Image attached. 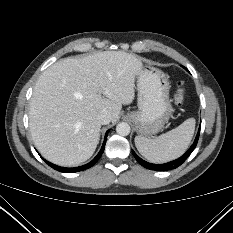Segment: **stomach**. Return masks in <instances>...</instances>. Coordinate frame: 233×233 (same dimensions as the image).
I'll return each mask as SVG.
<instances>
[{"mask_svg":"<svg viewBox=\"0 0 233 233\" xmlns=\"http://www.w3.org/2000/svg\"><path fill=\"white\" fill-rule=\"evenodd\" d=\"M169 89L168 77L162 70L142 64L137 73L138 110L128 115L141 137L158 133L171 117Z\"/></svg>","mask_w":233,"mask_h":233,"instance_id":"stomach-1","label":"stomach"}]
</instances>
